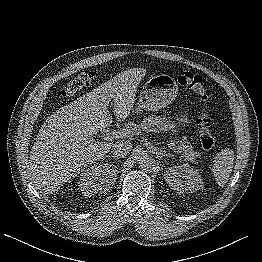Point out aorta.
Wrapping results in <instances>:
<instances>
[{
	"mask_svg": "<svg viewBox=\"0 0 262 262\" xmlns=\"http://www.w3.org/2000/svg\"><path fill=\"white\" fill-rule=\"evenodd\" d=\"M137 159L140 164L147 165L149 164V157L145 153H138Z\"/></svg>",
	"mask_w": 262,
	"mask_h": 262,
	"instance_id": "762f6f07",
	"label": "aorta"
}]
</instances>
